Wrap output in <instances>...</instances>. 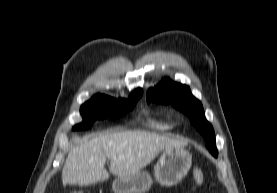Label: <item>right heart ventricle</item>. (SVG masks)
Instances as JSON below:
<instances>
[{
  "label": "right heart ventricle",
  "mask_w": 277,
  "mask_h": 193,
  "mask_svg": "<svg viewBox=\"0 0 277 193\" xmlns=\"http://www.w3.org/2000/svg\"><path fill=\"white\" fill-rule=\"evenodd\" d=\"M148 126L156 131H168L172 130L175 125L169 118L150 115L148 117Z\"/></svg>",
  "instance_id": "right-heart-ventricle-1"
}]
</instances>
